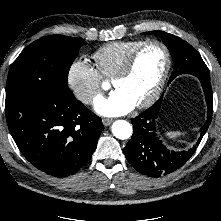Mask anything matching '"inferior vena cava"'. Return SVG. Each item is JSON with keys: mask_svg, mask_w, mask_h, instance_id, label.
<instances>
[{"mask_svg": "<svg viewBox=\"0 0 221 221\" xmlns=\"http://www.w3.org/2000/svg\"><path fill=\"white\" fill-rule=\"evenodd\" d=\"M92 94H86L83 98H82V100H83V102H85V103H88L91 99H92Z\"/></svg>", "mask_w": 221, "mask_h": 221, "instance_id": "1", "label": "inferior vena cava"}]
</instances>
